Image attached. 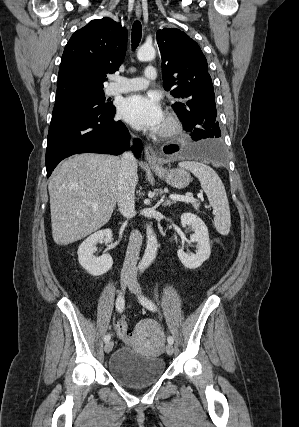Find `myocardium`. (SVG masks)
<instances>
[{
    "label": "myocardium",
    "instance_id": "f54148a6",
    "mask_svg": "<svg viewBox=\"0 0 299 427\" xmlns=\"http://www.w3.org/2000/svg\"><path fill=\"white\" fill-rule=\"evenodd\" d=\"M181 129V124L176 115L169 113L165 117L164 124L160 131L158 132V136L164 139L172 138L176 136Z\"/></svg>",
    "mask_w": 299,
    "mask_h": 427
}]
</instances>
